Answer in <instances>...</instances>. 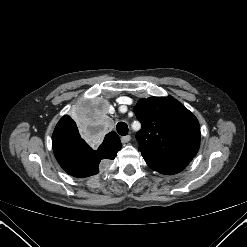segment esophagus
Here are the masks:
<instances>
[{
    "mask_svg": "<svg viewBox=\"0 0 247 247\" xmlns=\"http://www.w3.org/2000/svg\"><path fill=\"white\" fill-rule=\"evenodd\" d=\"M131 140V136L130 135H126L121 137V142L122 143H128Z\"/></svg>",
    "mask_w": 247,
    "mask_h": 247,
    "instance_id": "1",
    "label": "esophagus"
}]
</instances>
